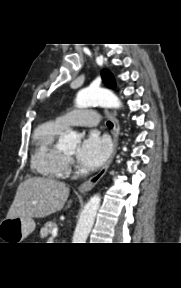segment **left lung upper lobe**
I'll use <instances>...</instances> for the list:
<instances>
[{"label": "left lung upper lobe", "instance_id": "left-lung-upper-lobe-1", "mask_svg": "<svg viewBox=\"0 0 181 288\" xmlns=\"http://www.w3.org/2000/svg\"><path fill=\"white\" fill-rule=\"evenodd\" d=\"M101 75L105 85H107L110 88L115 87V80L111 72H109L108 70H102Z\"/></svg>", "mask_w": 181, "mask_h": 288}]
</instances>
